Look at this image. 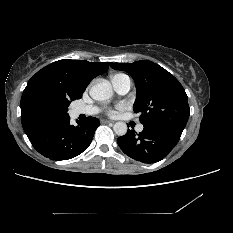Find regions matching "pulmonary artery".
<instances>
[{
    "instance_id": "pulmonary-artery-1",
    "label": "pulmonary artery",
    "mask_w": 233,
    "mask_h": 233,
    "mask_svg": "<svg viewBox=\"0 0 233 233\" xmlns=\"http://www.w3.org/2000/svg\"><path fill=\"white\" fill-rule=\"evenodd\" d=\"M113 86L117 92L120 94H126L132 86L131 79L126 75H121L112 80ZM97 108L92 106H78L72 109V113L76 116L78 115H92L97 113ZM143 125L139 124L137 126V131H142Z\"/></svg>"
}]
</instances>
